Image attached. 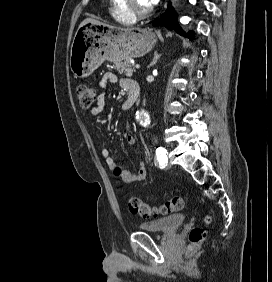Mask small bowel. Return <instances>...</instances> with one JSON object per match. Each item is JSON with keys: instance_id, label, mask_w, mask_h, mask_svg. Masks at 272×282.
<instances>
[{"instance_id": "small-bowel-1", "label": "small bowel", "mask_w": 272, "mask_h": 282, "mask_svg": "<svg viewBox=\"0 0 272 282\" xmlns=\"http://www.w3.org/2000/svg\"><path fill=\"white\" fill-rule=\"evenodd\" d=\"M107 80L116 82V77L114 75H108V76H105V78L100 82V87L102 91L97 98L96 104L89 110V112L92 115H98L104 110L105 90L107 88ZM123 80L124 79H122L119 82V84L123 89H125V84ZM126 139L129 144L133 145L137 142V135L133 131L130 130L127 134ZM101 153H102V156L105 158L107 166L110 169L115 170L118 167V165L115 162V160L112 157H110L109 150L107 148H103ZM146 174H147L146 163L145 161L142 160L139 162V170L137 174H131L124 167H122L121 178L125 183L131 184V183L140 182L144 180L146 177Z\"/></svg>"}]
</instances>
